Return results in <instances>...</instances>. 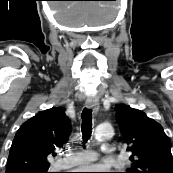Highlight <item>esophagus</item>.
<instances>
[{"label": "esophagus", "mask_w": 173, "mask_h": 173, "mask_svg": "<svg viewBox=\"0 0 173 173\" xmlns=\"http://www.w3.org/2000/svg\"><path fill=\"white\" fill-rule=\"evenodd\" d=\"M86 107L92 109L94 113H97L99 110V100L96 96H88L86 99Z\"/></svg>", "instance_id": "1"}]
</instances>
